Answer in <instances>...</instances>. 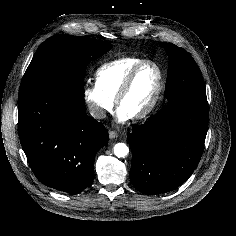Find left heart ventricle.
Here are the masks:
<instances>
[{
	"label": "left heart ventricle",
	"mask_w": 236,
	"mask_h": 236,
	"mask_svg": "<svg viewBox=\"0 0 236 236\" xmlns=\"http://www.w3.org/2000/svg\"><path fill=\"white\" fill-rule=\"evenodd\" d=\"M159 75L153 65L144 66L136 75L133 84L120 103L119 109L129 117L142 112L151 102L158 86Z\"/></svg>",
	"instance_id": "left-heart-ventricle-1"
}]
</instances>
